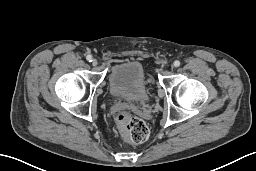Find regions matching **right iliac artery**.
<instances>
[{
  "mask_svg": "<svg viewBox=\"0 0 256 171\" xmlns=\"http://www.w3.org/2000/svg\"><path fill=\"white\" fill-rule=\"evenodd\" d=\"M86 59H87L89 62H91V61H92V56H91V55H88V56L86 57Z\"/></svg>",
  "mask_w": 256,
  "mask_h": 171,
  "instance_id": "1",
  "label": "right iliac artery"
}]
</instances>
